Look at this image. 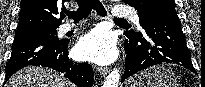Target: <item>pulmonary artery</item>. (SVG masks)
Here are the masks:
<instances>
[{
  "label": "pulmonary artery",
  "instance_id": "e3ab8cb5",
  "mask_svg": "<svg viewBox=\"0 0 205 87\" xmlns=\"http://www.w3.org/2000/svg\"><path fill=\"white\" fill-rule=\"evenodd\" d=\"M112 15L117 19L122 17H128L135 24H139V17L137 13L127 7H124L123 5H116L115 8L113 9ZM73 28H74L73 24L65 23L60 26L59 31L60 33H66L72 30Z\"/></svg>",
  "mask_w": 205,
  "mask_h": 87
}]
</instances>
